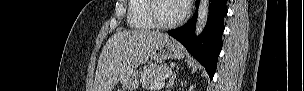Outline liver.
<instances>
[{
    "label": "liver",
    "instance_id": "6515ba94",
    "mask_svg": "<svg viewBox=\"0 0 304 91\" xmlns=\"http://www.w3.org/2000/svg\"><path fill=\"white\" fill-rule=\"evenodd\" d=\"M167 34L146 30L117 31L103 47L93 91H112L124 73L146 63Z\"/></svg>",
    "mask_w": 304,
    "mask_h": 91
}]
</instances>
